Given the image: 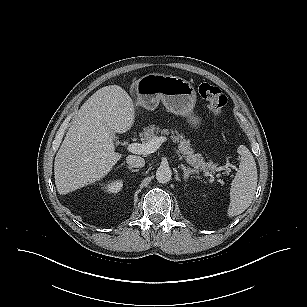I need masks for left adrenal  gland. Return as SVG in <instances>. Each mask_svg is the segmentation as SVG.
Here are the masks:
<instances>
[{"instance_id": "left-adrenal-gland-1", "label": "left adrenal gland", "mask_w": 307, "mask_h": 307, "mask_svg": "<svg viewBox=\"0 0 307 307\" xmlns=\"http://www.w3.org/2000/svg\"><path fill=\"white\" fill-rule=\"evenodd\" d=\"M181 169L184 172V179L187 180L190 174H194L195 170H192L191 168H186L184 165H181Z\"/></svg>"}]
</instances>
